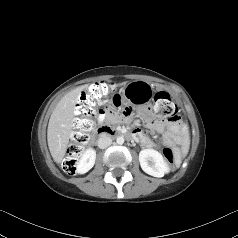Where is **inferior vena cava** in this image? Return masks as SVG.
<instances>
[{"mask_svg":"<svg viewBox=\"0 0 238 238\" xmlns=\"http://www.w3.org/2000/svg\"><path fill=\"white\" fill-rule=\"evenodd\" d=\"M111 144L112 139L107 135H103L98 139V147L101 149L107 148Z\"/></svg>","mask_w":238,"mask_h":238,"instance_id":"inferior-vena-cava-1","label":"inferior vena cava"}]
</instances>
